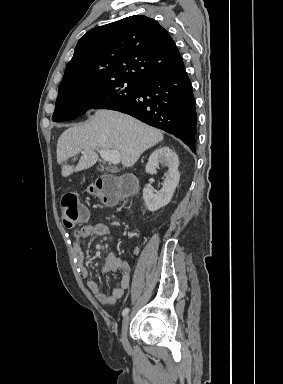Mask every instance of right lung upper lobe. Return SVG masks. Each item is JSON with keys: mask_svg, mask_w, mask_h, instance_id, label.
<instances>
[{"mask_svg": "<svg viewBox=\"0 0 283 384\" xmlns=\"http://www.w3.org/2000/svg\"><path fill=\"white\" fill-rule=\"evenodd\" d=\"M182 67L169 33L156 20L134 15L88 31L59 87L118 79L141 84Z\"/></svg>", "mask_w": 283, "mask_h": 384, "instance_id": "1", "label": "right lung upper lobe"}]
</instances>
